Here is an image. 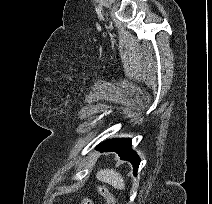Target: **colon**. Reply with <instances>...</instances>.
Instances as JSON below:
<instances>
[{
	"instance_id": "obj_1",
	"label": "colon",
	"mask_w": 212,
	"mask_h": 204,
	"mask_svg": "<svg viewBox=\"0 0 212 204\" xmlns=\"http://www.w3.org/2000/svg\"><path fill=\"white\" fill-rule=\"evenodd\" d=\"M99 194L104 198L106 204H115V198L113 194L102 185L97 187ZM81 204H93L92 200L88 197L83 198Z\"/></svg>"
}]
</instances>
